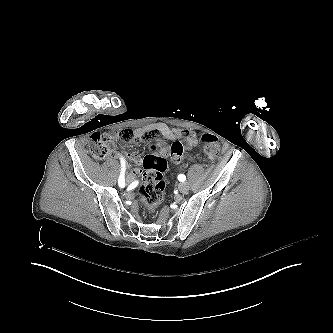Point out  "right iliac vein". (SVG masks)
Here are the masks:
<instances>
[{"mask_svg": "<svg viewBox=\"0 0 333 333\" xmlns=\"http://www.w3.org/2000/svg\"><path fill=\"white\" fill-rule=\"evenodd\" d=\"M134 180V176L132 174H128L126 177V183H131Z\"/></svg>", "mask_w": 333, "mask_h": 333, "instance_id": "right-iliac-vein-1", "label": "right iliac vein"}]
</instances>
